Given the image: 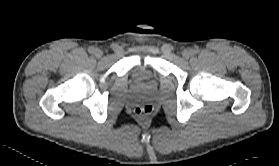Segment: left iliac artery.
<instances>
[{"label": "left iliac artery", "mask_w": 279, "mask_h": 166, "mask_svg": "<svg viewBox=\"0 0 279 166\" xmlns=\"http://www.w3.org/2000/svg\"><path fill=\"white\" fill-rule=\"evenodd\" d=\"M192 52H193L194 54H196V53L198 52V50H197V49H194V50H192Z\"/></svg>", "instance_id": "44dca946"}]
</instances>
